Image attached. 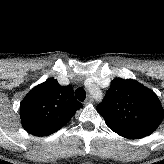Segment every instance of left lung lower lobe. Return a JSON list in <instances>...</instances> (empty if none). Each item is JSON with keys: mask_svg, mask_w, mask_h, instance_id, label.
Masks as SVG:
<instances>
[{"mask_svg": "<svg viewBox=\"0 0 164 164\" xmlns=\"http://www.w3.org/2000/svg\"><path fill=\"white\" fill-rule=\"evenodd\" d=\"M110 129L112 131H114L115 133H117L118 135L123 136V137L128 138V139H137V138H143V137H145L143 135H140L138 133L131 132V131L117 130V129H113L111 127H110Z\"/></svg>", "mask_w": 164, "mask_h": 164, "instance_id": "left-lung-lower-lobe-1", "label": "left lung lower lobe"}]
</instances>
